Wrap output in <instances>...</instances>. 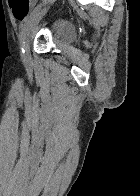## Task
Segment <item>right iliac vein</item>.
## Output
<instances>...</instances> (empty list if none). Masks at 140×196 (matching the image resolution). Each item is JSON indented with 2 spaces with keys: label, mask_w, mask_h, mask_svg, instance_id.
<instances>
[{
  "label": "right iliac vein",
  "mask_w": 140,
  "mask_h": 196,
  "mask_svg": "<svg viewBox=\"0 0 140 196\" xmlns=\"http://www.w3.org/2000/svg\"><path fill=\"white\" fill-rule=\"evenodd\" d=\"M45 13H46V9L41 10L32 18V20L29 23L27 32L25 34V44H24V53H23V62L25 64H28L31 61L30 48H29L31 34L33 32L34 27L39 23V21L42 19Z\"/></svg>",
  "instance_id": "1"
}]
</instances>
